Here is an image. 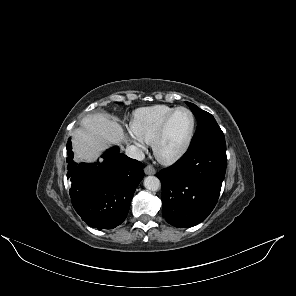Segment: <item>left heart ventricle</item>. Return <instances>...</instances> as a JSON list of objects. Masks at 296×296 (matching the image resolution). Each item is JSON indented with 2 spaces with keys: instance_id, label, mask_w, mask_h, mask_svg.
<instances>
[{
  "instance_id": "1",
  "label": "left heart ventricle",
  "mask_w": 296,
  "mask_h": 296,
  "mask_svg": "<svg viewBox=\"0 0 296 296\" xmlns=\"http://www.w3.org/2000/svg\"><path fill=\"white\" fill-rule=\"evenodd\" d=\"M191 124L192 119L188 112H177L169 123L160 145L161 154L170 155L178 151L190 132Z\"/></svg>"
}]
</instances>
